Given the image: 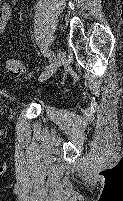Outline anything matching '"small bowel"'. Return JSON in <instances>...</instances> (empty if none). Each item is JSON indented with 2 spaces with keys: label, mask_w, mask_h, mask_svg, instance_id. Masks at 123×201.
<instances>
[{
  "label": "small bowel",
  "mask_w": 123,
  "mask_h": 201,
  "mask_svg": "<svg viewBox=\"0 0 123 201\" xmlns=\"http://www.w3.org/2000/svg\"><path fill=\"white\" fill-rule=\"evenodd\" d=\"M12 15L11 5L4 3L0 7V34H2L7 27Z\"/></svg>",
  "instance_id": "1"
}]
</instances>
